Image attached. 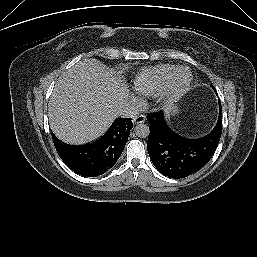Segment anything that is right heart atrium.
<instances>
[{"label": "right heart atrium", "mask_w": 257, "mask_h": 257, "mask_svg": "<svg viewBox=\"0 0 257 257\" xmlns=\"http://www.w3.org/2000/svg\"><path fill=\"white\" fill-rule=\"evenodd\" d=\"M132 101H133V103L136 104V105H139V104H140L139 100H138L136 97H132Z\"/></svg>", "instance_id": "right-heart-atrium-1"}]
</instances>
